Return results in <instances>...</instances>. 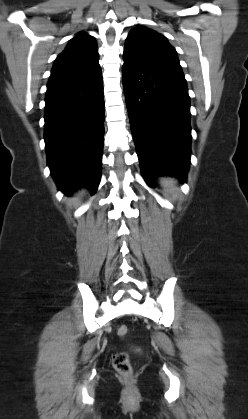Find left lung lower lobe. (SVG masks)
<instances>
[{"instance_id": "0a47b994", "label": "left lung lower lobe", "mask_w": 248, "mask_h": 419, "mask_svg": "<svg viewBox=\"0 0 248 419\" xmlns=\"http://www.w3.org/2000/svg\"><path fill=\"white\" fill-rule=\"evenodd\" d=\"M123 86L142 174L186 180L190 163V98L183 73L124 52Z\"/></svg>"}]
</instances>
